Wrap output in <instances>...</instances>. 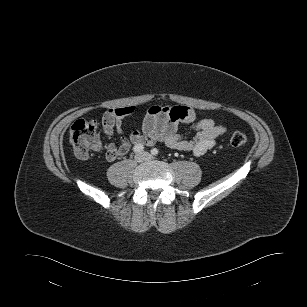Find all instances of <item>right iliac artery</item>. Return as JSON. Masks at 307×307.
Here are the masks:
<instances>
[{
  "instance_id": "right-iliac-artery-1",
  "label": "right iliac artery",
  "mask_w": 307,
  "mask_h": 307,
  "mask_svg": "<svg viewBox=\"0 0 307 307\" xmlns=\"http://www.w3.org/2000/svg\"><path fill=\"white\" fill-rule=\"evenodd\" d=\"M143 149H144V146L141 144H137L133 147V151L136 153L143 151Z\"/></svg>"
}]
</instances>
